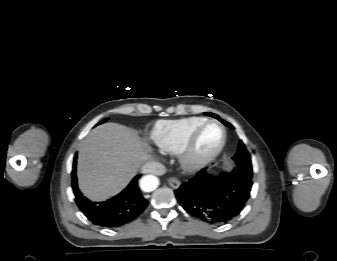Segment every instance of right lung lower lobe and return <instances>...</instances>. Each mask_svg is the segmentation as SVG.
Wrapping results in <instances>:
<instances>
[{
    "instance_id": "obj_1",
    "label": "right lung lower lobe",
    "mask_w": 337,
    "mask_h": 261,
    "mask_svg": "<svg viewBox=\"0 0 337 261\" xmlns=\"http://www.w3.org/2000/svg\"><path fill=\"white\" fill-rule=\"evenodd\" d=\"M75 156L72 170V188L75 201L80 210L94 224L116 228L130 223L147 207L148 201L141 195L138 187L140 175L134 177L131 183L117 196L104 202H91L84 197L77 185Z\"/></svg>"
}]
</instances>
